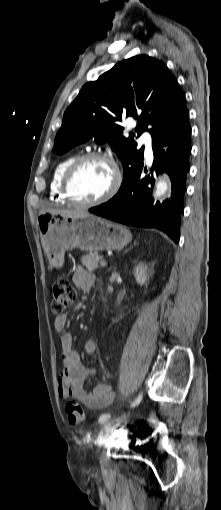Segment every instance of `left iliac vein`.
<instances>
[{
	"label": "left iliac vein",
	"instance_id": "left-iliac-vein-1",
	"mask_svg": "<svg viewBox=\"0 0 221 510\" xmlns=\"http://www.w3.org/2000/svg\"><path fill=\"white\" fill-rule=\"evenodd\" d=\"M125 420H126V417L124 416V417H118L113 420L107 421L101 430L100 437H99L100 440L101 441L107 440L113 433L114 429L117 428Z\"/></svg>",
	"mask_w": 221,
	"mask_h": 510
}]
</instances>
